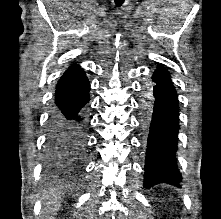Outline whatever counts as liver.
Masks as SVG:
<instances>
[{
  "mask_svg": "<svg viewBox=\"0 0 221 219\" xmlns=\"http://www.w3.org/2000/svg\"><path fill=\"white\" fill-rule=\"evenodd\" d=\"M42 197L44 200L45 214L48 216L49 214L52 215L56 213L61 202V197L59 196V193L51 190L50 192H46Z\"/></svg>",
  "mask_w": 221,
  "mask_h": 219,
  "instance_id": "6515ba94",
  "label": "liver"
}]
</instances>
